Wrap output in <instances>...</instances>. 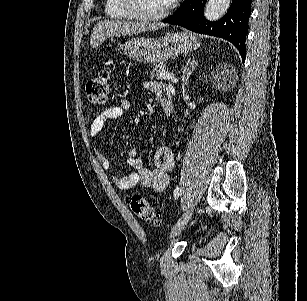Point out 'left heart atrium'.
I'll use <instances>...</instances> for the list:
<instances>
[{"instance_id": "1", "label": "left heart atrium", "mask_w": 307, "mask_h": 301, "mask_svg": "<svg viewBox=\"0 0 307 301\" xmlns=\"http://www.w3.org/2000/svg\"><path fill=\"white\" fill-rule=\"evenodd\" d=\"M180 0H169L170 4H178Z\"/></svg>"}]
</instances>
